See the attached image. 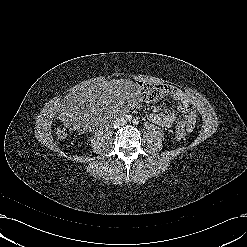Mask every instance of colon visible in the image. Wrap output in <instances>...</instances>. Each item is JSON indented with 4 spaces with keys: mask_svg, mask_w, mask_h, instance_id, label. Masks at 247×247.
<instances>
[{
    "mask_svg": "<svg viewBox=\"0 0 247 247\" xmlns=\"http://www.w3.org/2000/svg\"><path fill=\"white\" fill-rule=\"evenodd\" d=\"M142 88H143V91L145 93V97L148 100H154L155 98H157L159 96V91H158L157 87H155L153 85L147 84V85H144ZM56 135L59 138L64 139L67 137L68 131L64 126L60 125L56 128ZM185 136H186L185 130H182V129L176 130L175 137L178 140L183 139Z\"/></svg>",
    "mask_w": 247,
    "mask_h": 247,
    "instance_id": "colon-1",
    "label": "colon"
}]
</instances>
